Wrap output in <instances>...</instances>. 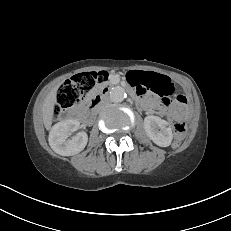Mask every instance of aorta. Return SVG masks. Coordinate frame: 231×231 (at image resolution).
I'll list each match as a JSON object with an SVG mask.
<instances>
[{"label":"aorta","instance_id":"762f6f07","mask_svg":"<svg viewBox=\"0 0 231 231\" xmlns=\"http://www.w3.org/2000/svg\"><path fill=\"white\" fill-rule=\"evenodd\" d=\"M126 98L125 90L122 87H114L110 91V99L114 103L122 102Z\"/></svg>","mask_w":231,"mask_h":231}]
</instances>
